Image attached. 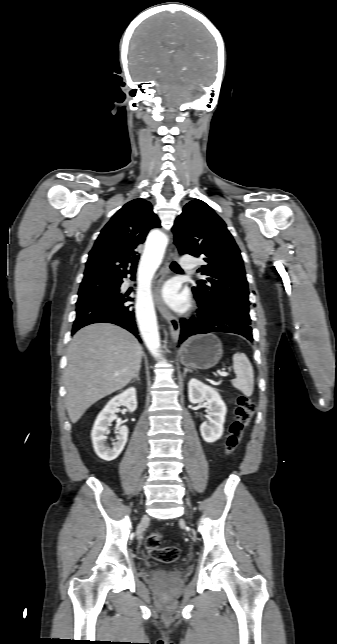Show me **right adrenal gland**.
I'll return each instance as SVG.
<instances>
[{
    "label": "right adrenal gland",
    "instance_id": "right-adrenal-gland-1",
    "mask_svg": "<svg viewBox=\"0 0 337 644\" xmlns=\"http://www.w3.org/2000/svg\"><path fill=\"white\" fill-rule=\"evenodd\" d=\"M135 380L140 381V378H139V371H138V372H137V374L133 377L132 382H134Z\"/></svg>",
    "mask_w": 337,
    "mask_h": 644
}]
</instances>
